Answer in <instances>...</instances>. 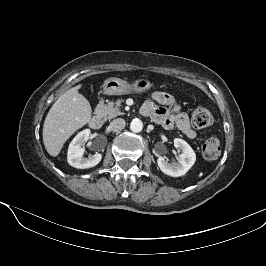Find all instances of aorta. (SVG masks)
<instances>
[{"mask_svg": "<svg viewBox=\"0 0 266 266\" xmlns=\"http://www.w3.org/2000/svg\"><path fill=\"white\" fill-rule=\"evenodd\" d=\"M130 129L134 132V133H139L142 131L143 129V123L141 120L139 119H133L131 124H130Z\"/></svg>", "mask_w": 266, "mask_h": 266, "instance_id": "762f6f07", "label": "aorta"}]
</instances>
